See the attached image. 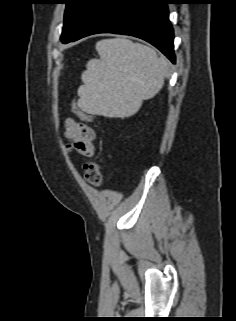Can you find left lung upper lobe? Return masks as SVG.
Here are the masks:
<instances>
[{
	"label": "left lung upper lobe",
	"instance_id": "left-lung-upper-lobe-1",
	"mask_svg": "<svg viewBox=\"0 0 236 321\" xmlns=\"http://www.w3.org/2000/svg\"><path fill=\"white\" fill-rule=\"evenodd\" d=\"M98 0H66L64 26L61 41H70L80 30L85 19L96 5Z\"/></svg>",
	"mask_w": 236,
	"mask_h": 321
}]
</instances>
